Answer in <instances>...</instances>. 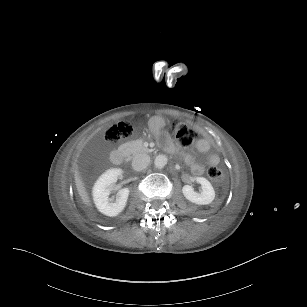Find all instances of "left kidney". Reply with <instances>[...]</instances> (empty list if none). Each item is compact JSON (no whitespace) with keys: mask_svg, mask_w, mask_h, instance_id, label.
I'll return each mask as SVG.
<instances>
[{"mask_svg":"<svg viewBox=\"0 0 307 307\" xmlns=\"http://www.w3.org/2000/svg\"><path fill=\"white\" fill-rule=\"evenodd\" d=\"M197 183L201 185V191L196 192L190 185H184L182 193L184 197L198 205L210 204L215 198V191L211 183L204 177H195Z\"/></svg>","mask_w":307,"mask_h":307,"instance_id":"obj_1","label":"left kidney"}]
</instances>
